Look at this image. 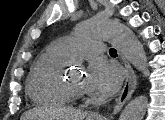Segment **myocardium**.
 I'll use <instances>...</instances> for the list:
<instances>
[{"instance_id":"obj_1","label":"myocardium","mask_w":165,"mask_h":120,"mask_svg":"<svg viewBox=\"0 0 165 120\" xmlns=\"http://www.w3.org/2000/svg\"><path fill=\"white\" fill-rule=\"evenodd\" d=\"M66 88L68 92L71 94V96L74 98H81V99L87 98V94L84 90L73 86L69 81H66Z\"/></svg>"}]
</instances>
